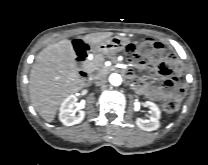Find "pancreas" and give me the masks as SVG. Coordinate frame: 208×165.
<instances>
[{
	"label": "pancreas",
	"instance_id": "1",
	"mask_svg": "<svg viewBox=\"0 0 208 165\" xmlns=\"http://www.w3.org/2000/svg\"><path fill=\"white\" fill-rule=\"evenodd\" d=\"M105 56L103 54H96L93 56L91 62L92 69L97 71L98 74L105 73L108 71V68L104 66Z\"/></svg>",
	"mask_w": 208,
	"mask_h": 165
}]
</instances>
